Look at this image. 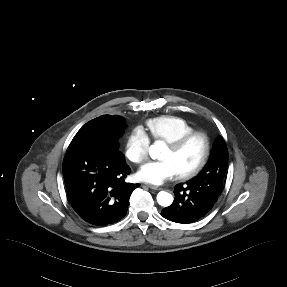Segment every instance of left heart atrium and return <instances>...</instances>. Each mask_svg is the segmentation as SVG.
<instances>
[{"instance_id": "obj_1", "label": "left heart atrium", "mask_w": 287, "mask_h": 287, "mask_svg": "<svg viewBox=\"0 0 287 287\" xmlns=\"http://www.w3.org/2000/svg\"><path fill=\"white\" fill-rule=\"evenodd\" d=\"M178 175L170 161H150L142 165L136 173L139 181L160 185Z\"/></svg>"}]
</instances>
